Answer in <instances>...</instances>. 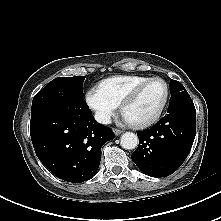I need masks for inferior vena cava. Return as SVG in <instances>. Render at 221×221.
Masks as SVG:
<instances>
[{
  "mask_svg": "<svg viewBox=\"0 0 221 221\" xmlns=\"http://www.w3.org/2000/svg\"><path fill=\"white\" fill-rule=\"evenodd\" d=\"M94 117H95V120L101 124L111 123L110 116L104 112H96Z\"/></svg>",
  "mask_w": 221,
  "mask_h": 221,
  "instance_id": "602c4592",
  "label": "inferior vena cava"
}]
</instances>
